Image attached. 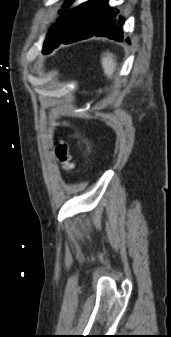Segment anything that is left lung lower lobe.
<instances>
[{
    "label": "left lung lower lobe",
    "mask_w": 171,
    "mask_h": 337,
    "mask_svg": "<svg viewBox=\"0 0 171 337\" xmlns=\"http://www.w3.org/2000/svg\"><path fill=\"white\" fill-rule=\"evenodd\" d=\"M108 5V0H89L85 3L81 17L72 31L61 43H72L92 35L106 36L116 41L123 39L122 25L124 18ZM129 43V39H126ZM55 47V48H56Z\"/></svg>",
    "instance_id": "0a47b994"
}]
</instances>
